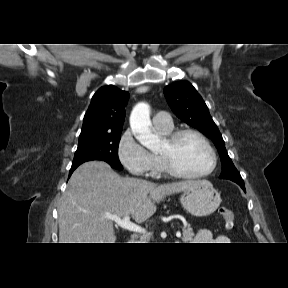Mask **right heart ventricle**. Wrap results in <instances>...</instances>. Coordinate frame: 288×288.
I'll use <instances>...</instances> for the list:
<instances>
[{
    "label": "right heart ventricle",
    "mask_w": 288,
    "mask_h": 288,
    "mask_svg": "<svg viewBox=\"0 0 288 288\" xmlns=\"http://www.w3.org/2000/svg\"><path fill=\"white\" fill-rule=\"evenodd\" d=\"M156 130L161 135L168 136L173 131V127L171 129H168V130H162V129H158V128H156ZM153 156H154L155 169H156L157 173L158 174L166 173L159 156L158 155H153Z\"/></svg>",
    "instance_id": "obj_1"
}]
</instances>
